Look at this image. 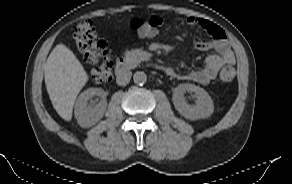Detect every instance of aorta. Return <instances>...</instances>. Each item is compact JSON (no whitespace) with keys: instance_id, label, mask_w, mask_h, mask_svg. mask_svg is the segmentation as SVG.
<instances>
[{"instance_id":"762f6f07","label":"aorta","mask_w":292,"mask_h":184,"mask_svg":"<svg viewBox=\"0 0 292 184\" xmlns=\"http://www.w3.org/2000/svg\"><path fill=\"white\" fill-rule=\"evenodd\" d=\"M133 81L135 84L142 85L147 81V75L143 71H137L133 75Z\"/></svg>"}]
</instances>
